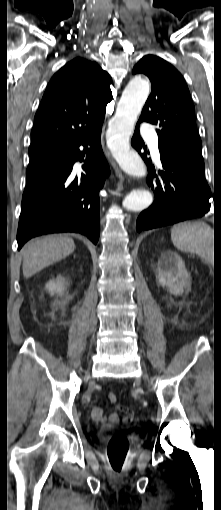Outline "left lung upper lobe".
Here are the masks:
<instances>
[{
	"label": "left lung upper lobe",
	"mask_w": 221,
	"mask_h": 510,
	"mask_svg": "<svg viewBox=\"0 0 221 510\" xmlns=\"http://www.w3.org/2000/svg\"><path fill=\"white\" fill-rule=\"evenodd\" d=\"M133 73L147 75L152 84L139 121L157 126L159 146L204 165L194 106L182 75L154 55L144 56L133 68Z\"/></svg>",
	"instance_id": "left-lung-upper-lobe-1"
}]
</instances>
